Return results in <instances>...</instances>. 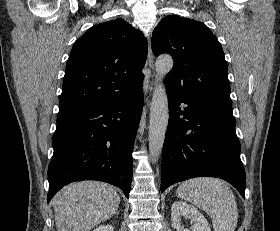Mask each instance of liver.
<instances>
[{"label":"liver","instance_id":"6515ba94","mask_svg":"<svg viewBox=\"0 0 280 231\" xmlns=\"http://www.w3.org/2000/svg\"><path fill=\"white\" fill-rule=\"evenodd\" d=\"M58 231H90L117 211L116 187L104 181H74L52 199Z\"/></svg>","mask_w":280,"mask_h":231}]
</instances>
